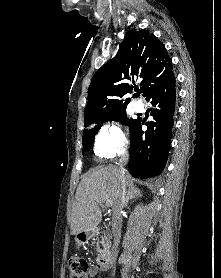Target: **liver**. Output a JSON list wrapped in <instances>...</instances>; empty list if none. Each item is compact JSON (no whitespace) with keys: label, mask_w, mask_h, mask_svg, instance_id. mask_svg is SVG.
Instances as JSON below:
<instances>
[{"label":"liver","mask_w":221,"mask_h":278,"mask_svg":"<svg viewBox=\"0 0 221 278\" xmlns=\"http://www.w3.org/2000/svg\"><path fill=\"white\" fill-rule=\"evenodd\" d=\"M121 182L131 190L139 191L133 184L132 177L121 171L118 166L100 167L82 179L76 190L72 206L71 234L92 231L102 220L99 205L109 200L113 207L116 193Z\"/></svg>","instance_id":"obj_1"}]
</instances>
